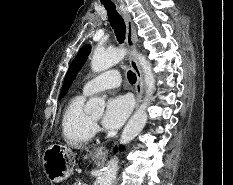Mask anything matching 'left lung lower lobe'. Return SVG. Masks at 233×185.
I'll list each match as a JSON object with an SVG mask.
<instances>
[{
    "label": "left lung lower lobe",
    "instance_id": "1",
    "mask_svg": "<svg viewBox=\"0 0 233 185\" xmlns=\"http://www.w3.org/2000/svg\"><path fill=\"white\" fill-rule=\"evenodd\" d=\"M120 150H123V148H122V147H120ZM114 151H117V149L115 148V149H114Z\"/></svg>",
    "mask_w": 233,
    "mask_h": 185
}]
</instances>
